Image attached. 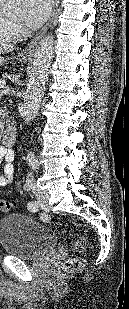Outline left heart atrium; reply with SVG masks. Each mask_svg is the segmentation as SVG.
Masks as SVG:
<instances>
[{"label": "left heart atrium", "instance_id": "1", "mask_svg": "<svg viewBox=\"0 0 129 309\" xmlns=\"http://www.w3.org/2000/svg\"><path fill=\"white\" fill-rule=\"evenodd\" d=\"M52 0H24L23 22L26 27L36 29L50 14Z\"/></svg>", "mask_w": 129, "mask_h": 309}]
</instances>
